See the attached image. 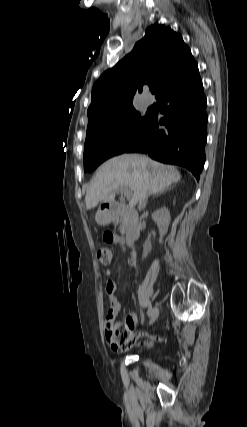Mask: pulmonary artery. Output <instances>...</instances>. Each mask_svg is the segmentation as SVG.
I'll return each mask as SVG.
<instances>
[{"instance_id":"e3ab8cb5","label":"pulmonary artery","mask_w":247,"mask_h":427,"mask_svg":"<svg viewBox=\"0 0 247 427\" xmlns=\"http://www.w3.org/2000/svg\"><path fill=\"white\" fill-rule=\"evenodd\" d=\"M144 103H145V105H150L151 104V101L149 100V99H146L145 101H144Z\"/></svg>"}]
</instances>
